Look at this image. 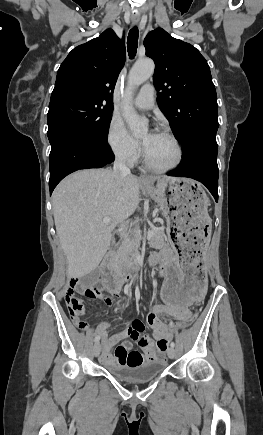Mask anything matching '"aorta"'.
Here are the masks:
<instances>
[{
	"instance_id": "1",
	"label": "aorta",
	"mask_w": 263,
	"mask_h": 435,
	"mask_svg": "<svg viewBox=\"0 0 263 435\" xmlns=\"http://www.w3.org/2000/svg\"><path fill=\"white\" fill-rule=\"evenodd\" d=\"M154 62L151 59L138 61L132 67L129 73V88L127 91L128 97L132 95L135 87L144 83L154 73ZM123 116L135 136H140L147 131L148 123L142 120L135 112L129 98L123 105Z\"/></svg>"
}]
</instances>
